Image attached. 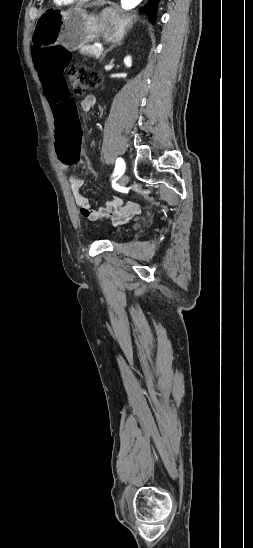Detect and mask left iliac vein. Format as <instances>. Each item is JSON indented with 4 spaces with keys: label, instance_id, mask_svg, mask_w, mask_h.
<instances>
[{
    "label": "left iliac vein",
    "instance_id": "4c4485c4",
    "mask_svg": "<svg viewBox=\"0 0 253 548\" xmlns=\"http://www.w3.org/2000/svg\"><path fill=\"white\" fill-rule=\"evenodd\" d=\"M128 182H129V176L126 174H124L119 180V184L122 186H125Z\"/></svg>",
    "mask_w": 253,
    "mask_h": 548
}]
</instances>
